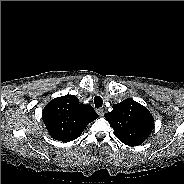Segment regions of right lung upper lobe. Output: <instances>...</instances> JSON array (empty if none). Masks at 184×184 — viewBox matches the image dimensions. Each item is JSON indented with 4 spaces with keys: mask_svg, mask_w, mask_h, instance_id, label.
Instances as JSON below:
<instances>
[{
    "mask_svg": "<svg viewBox=\"0 0 184 184\" xmlns=\"http://www.w3.org/2000/svg\"><path fill=\"white\" fill-rule=\"evenodd\" d=\"M98 118L91 105H84L74 95L50 101L42 113L43 122L52 138L69 142L81 135L89 123Z\"/></svg>",
    "mask_w": 184,
    "mask_h": 184,
    "instance_id": "cb5924a9",
    "label": "right lung upper lobe"
}]
</instances>
